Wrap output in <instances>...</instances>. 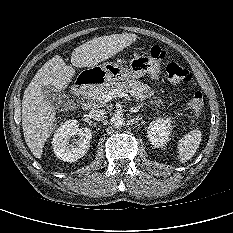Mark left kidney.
I'll list each match as a JSON object with an SVG mask.
<instances>
[{"instance_id":"1","label":"left kidney","mask_w":233,"mask_h":233,"mask_svg":"<svg viewBox=\"0 0 233 233\" xmlns=\"http://www.w3.org/2000/svg\"><path fill=\"white\" fill-rule=\"evenodd\" d=\"M169 118L152 121L147 129V137L151 144L157 148L165 146L169 141L172 125Z\"/></svg>"}]
</instances>
